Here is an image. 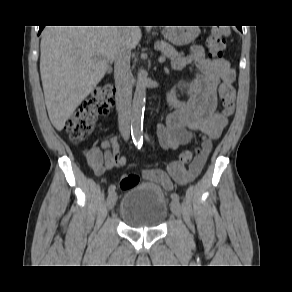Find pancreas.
Returning <instances> with one entry per match:
<instances>
[{"mask_svg":"<svg viewBox=\"0 0 292 292\" xmlns=\"http://www.w3.org/2000/svg\"><path fill=\"white\" fill-rule=\"evenodd\" d=\"M155 49L160 50L163 56H167L172 60L181 59L183 53H178L176 49L165 41L155 43Z\"/></svg>","mask_w":292,"mask_h":292,"instance_id":"1","label":"pancreas"}]
</instances>
